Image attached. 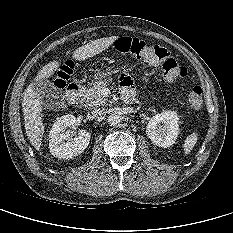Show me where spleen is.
<instances>
[{
  "mask_svg": "<svg viewBox=\"0 0 233 233\" xmlns=\"http://www.w3.org/2000/svg\"><path fill=\"white\" fill-rule=\"evenodd\" d=\"M198 140V135L196 133H192L190 134L184 141V153L185 154H189L192 149L194 148V146L196 145Z\"/></svg>",
  "mask_w": 233,
  "mask_h": 233,
  "instance_id": "3e777b00",
  "label": "spleen"
}]
</instances>
